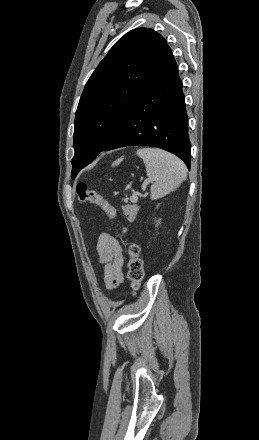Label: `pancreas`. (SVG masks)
<instances>
[{
	"mask_svg": "<svg viewBox=\"0 0 259 440\" xmlns=\"http://www.w3.org/2000/svg\"><path fill=\"white\" fill-rule=\"evenodd\" d=\"M131 200H132V196L130 198V201ZM138 209H139V207L135 203L133 205L129 204V205H125L122 207L124 215H126L130 221L135 219V217L138 213Z\"/></svg>",
	"mask_w": 259,
	"mask_h": 440,
	"instance_id": "cf45deb5",
	"label": "pancreas"
}]
</instances>
